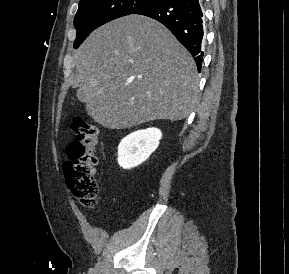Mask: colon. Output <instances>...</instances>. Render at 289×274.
<instances>
[{
	"label": "colon",
	"instance_id": "colon-1",
	"mask_svg": "<svg viewBox=\"0 0 289 274\" xmlns=\"http://www.w3.org/2000/svg\"><path fill=\"white\" fill-rule=\"evenodd\" d=\"M72 129L76 139L69 144L68 160L64 163L67 185L82 205L93 207L99 194L95 176L98 161L95 149L99 139V127L78 118L73 122Z\"/></svg>",
	"mask_w": 289,
	"mask_h": 274
}]
</instances>
